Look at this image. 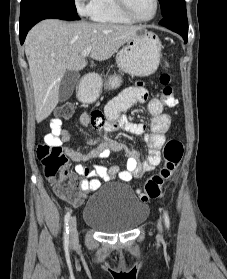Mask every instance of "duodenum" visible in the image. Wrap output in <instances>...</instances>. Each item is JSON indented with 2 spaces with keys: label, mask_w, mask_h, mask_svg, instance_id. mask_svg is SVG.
<instances>
[{
  "label": "duodenum",
  "mask_w": 227,
  "mask_h": 279,
  "mask_svg": "<svg viewBox=\"0 0 227 279\" xmlns=\"http://www.w3.org/2000/svg\"><path fill=\"white\" fill-rule=\"evenodd\" d=\"M86 92L84 90H79L77 92V100L82 103V104H91L92 102L87 100L86 97Z\"/></svg>",
  "instance_id": "duodenum-1"
}]
</instances>
